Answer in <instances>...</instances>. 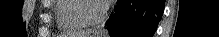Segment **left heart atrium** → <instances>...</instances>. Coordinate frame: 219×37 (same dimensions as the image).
Segmentation results:
<instances>
[{"mask_svg":"<svg viewBox=\"0 0 219 37\" xmlns=\"http://www.w3.org/2000/svg\"><path fill=\"white\" fill-rule=\"evenodd\" d=\"M101 3H102V4H108L109 1H108V0H102Z\"/></svg>","mask_w":219,"mask_h":37,"instance_id":"left-heart-atrium-1","label":"left heart atrium"}]
</instances>
